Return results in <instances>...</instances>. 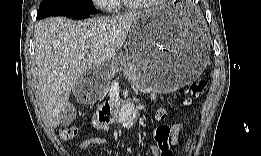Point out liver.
<instances>
[{"label": "liver", "mask_w": 261, "mask_h": 156, "mask_svg": "<svg viewBox=\"0 0 261 156\" xmlns=\"http://www.w3.org/2000/svg\"><path fill=\"white\" fill-rule=\"evenodd\" d=\"M142 12L75 22L64 17L40 21L34 30L38 89L48 123L57 127L71 90L84 72L114 57ZM85 54L84 58H80Z\"/></svg>", "instance_id": "liver-1"}]
</instances>
